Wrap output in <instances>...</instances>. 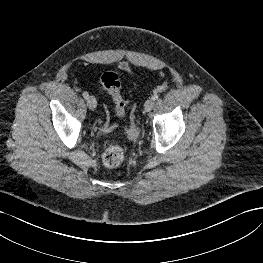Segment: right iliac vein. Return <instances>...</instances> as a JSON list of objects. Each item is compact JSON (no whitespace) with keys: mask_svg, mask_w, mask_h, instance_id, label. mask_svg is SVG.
<instances>
[{"mask_svg":"<svg viewBox=\"0 0 263 263\" xmlns=\"http://www.w3.org/2000/svg\"><path fill=\"white\" fill-rule=\"evenodd\" d=\"M87 106L89 107V109L93 110L96 108L97 106V101L96 98L94 96H89L87 98Z\"/></svg>","mask_w":263,"mask_h":263,"instance_id":"obj_1","label":"right iliac vein"}]
</instances>
